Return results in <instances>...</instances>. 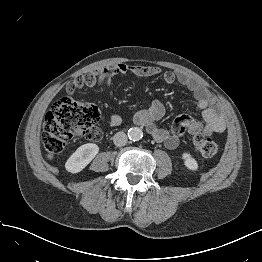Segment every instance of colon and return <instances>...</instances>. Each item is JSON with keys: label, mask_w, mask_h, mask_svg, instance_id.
Segmentation results:
<instances>
[{"label": "colon", "mask_w": 262, "mask_h": 262, "mask_svg": "<svg viewBox=\"0 0 262 262\" xmlns=\"http://www.w3.org/2000/svg\"><path fill=\"white\" fill-rule=\"evenodd\" d=\"M91 80L92 76L88 73L68 83L67 95L56 101L45 116L42 143L49 158L63 151L67 143L75 137L88 140H96L100 137V132L96 128L100 118L98 107L74 98L75 92ZM192 144L206 158L214 157L220 150V146L214 140L202 134L194 135Z\"/></svg>", "instance_id": "1"}]
</instances>
